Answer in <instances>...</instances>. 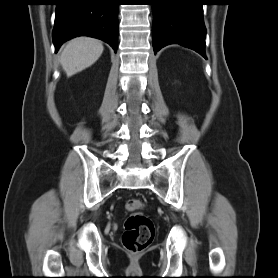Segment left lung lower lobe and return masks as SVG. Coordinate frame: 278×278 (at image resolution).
Instances as JSON below:
<instances>
[{"mask_svg": "<svg viewBox=\"0 0 278 278\" xmlns=\"http://www.w3.org/2000/svg\"><path fill=\"white\" fill-rule=\"evenodd\" d=\"M203 0H152L154 52L180 44L205 59Z\"/></svg>", "mask_w": 278, "mask_h": 278, "instance_id": "obj_1", "label": "left lung lower lobe"}]
</instances>
